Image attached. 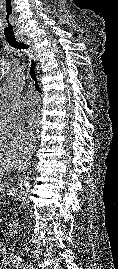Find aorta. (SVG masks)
I'll list each match as a JSON object with an SVG mask.
<instances>
[{"mask_svg":"<svg viewBox=\"0 0 118 269\" xmlns=\"http://www.w3.org/2000/svg\"><path fill=\"white\" fill-rule=\"evenodd\" d=\"M25 76L17 72L4 85L0 94V111L11 112L15 109L19 95L24 85ZM30 188L27 178L21 179L12 190L16 200H24Z\"/></svg>","mask_w":118,"mask_h":269,"instance_id":"1","label":"aorta"}]
</instances>
